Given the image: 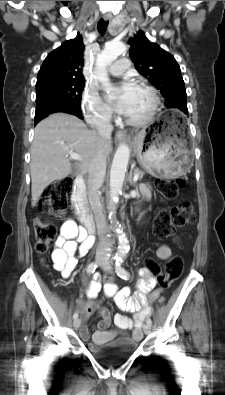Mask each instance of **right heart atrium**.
Segmentation results:
<instances>
[{"instance_id":"d8ad5b80","label":"right heart atrium","mask_w":225,"mask_h":395,"mask_svg":"<svg viewBox=\"0 0 225 395\" xmlns=\"http://www.w3.org/2000/svg\"><path fill=\"white\" fill-rule=\"evenodd\" d=\"M82 109L91 124H107L112 118L109 109L92 87H86L83 92Z\"/></svg>"}]
</instances>
